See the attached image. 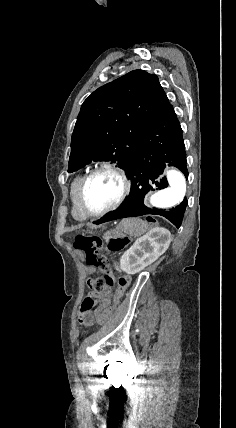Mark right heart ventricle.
Returning <instances> with one entry per match:
<instances>
[{"mask_svg":"<svg viewBox=\"0 0 236 428\" xmlns=\"http://www.w3.org/2000/svg\"><path fill=\"white\" fill-rule=\"evenodd\" d=\"M83 177H84V174L76 175L69 185V197L72 205V213H73V216L80 221H85L89 217L82 209L79 202V196H78L79 186Z\"/></svg>","mask_w":236,"mask_h":428,"instance_id":"obj_1","label":"right heart ventricle"}]
</instances>
